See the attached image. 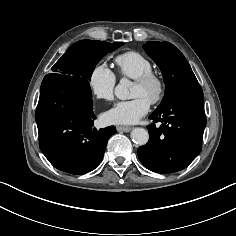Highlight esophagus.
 <instances>
[{
	"label": "esophagus",
	"instance_id": "1",
	"mask_svg": "<svg viewBox=\"0 0 236 236\" xmlns=\"http://www.w3.org/2000/svg\"><path fill=\"white\" fill-rule=\"evenodd\" d=\"M116 129L118 132H129L132 128L127 126H117Z\"/></svg>",
	"mask_w": 236,
	"mask_h": 236
}]
</instances>
